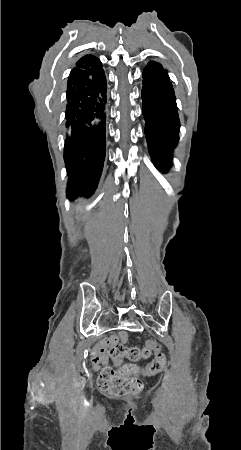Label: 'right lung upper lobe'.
I'll list each match as a JSON object with an SVG mask.
<instances>
[{
	"mask_svg": "<svg viewBox=\"0 0 241 450\" xmlns=\"http://www.w3.org/2000/svg\"><path fill=\"white\" fill-rule=\"evenodd\" d=\"M98 58L91 55V54H86L84 56H82L77 62H76V66L81 67L84 65H88V64H94L97 63Z\"/></svg>",
	"mask_w": 241,
	"mask_h": 450,
	"instance_id": "obj_1",
	"label": "right lung upper lobe"
}]
</instances>
